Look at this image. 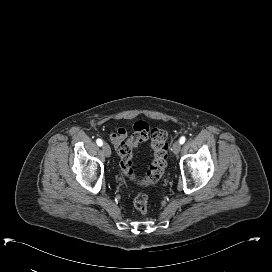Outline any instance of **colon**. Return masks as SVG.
<instances>
[{"mask_svg":"<svg viewBox=\"0 0 272 272\" xmlns=\"http://www.w3.org/2000/svg\"><path fill=\"white\" fill-rule=\"evenodd\" d=\"M150 141L153 149V161L140 183L144 186L152 185L164 175L167 166L168 135L162 128H151L146 121L139 120L133 125V135L119 146L120 167L125 177L134 180L133 150L144 141ZM136 212L142 216L149 210V200L146 194H137L133 199Z\"/></svg>","mask_w":272,"mask_h":272,"instance_id":"obj_1","label":"colon"}]
</instances>
